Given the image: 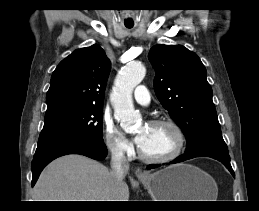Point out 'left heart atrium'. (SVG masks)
<instances>
[{
  "mask_svg": "<svg viewBox=\"0 0 259 211\" xmlns=\"http://www.w3.org/2000/svg\"><path fill=\"white\" fill-rule=\"evenodd\" d=\"M144 136H145V130H142L141 132H139L135 138V141L138 145H140L143 140H144Z\"/></svg>",
  "mask_w": 259,
  "mask_h": 211,
  "instance_id": "39dd6f15",
  "label": "left heart atrium"
}]
</instances>
